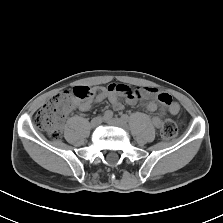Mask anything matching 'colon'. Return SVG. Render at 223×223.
Listing matches in <instances>:
<instances>
[{"mask_svg": "<svg viewBox=\"0 0 223 223\" xmlns=\"http://www.w3.org/2000/svg\"><path fill=\"white\" fill-rule=\"evenodd\" d=\"M92 95V89L83 85L74 87L72 91L65 90L55 94L36 113L35 126L51 140H59L62 136L64 119L74 106L76 99L86 100ZM161 135L166 141L174 140L177 135L176 123L171 119L165 120L161 126Z\"/></svg>", "mask_w": 223, "mask_h": 223, "instance_id": "obj_1", "label": "colon"}]
</instances>
